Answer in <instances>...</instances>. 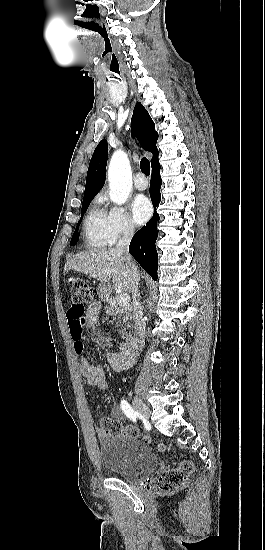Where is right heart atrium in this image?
I'll use <instances>...</instances> for the list:
<instances>
[{
  "label": "right heart atrium",
  "instance_id": "right-heart-atrium-1",
  "mask_svg": "<svg viewBox=\"0 0 265 550\" xmlns=\"http://www.w3.org/2000/svg\"><path fill=\"white\" fill-rule=\"evenodd\" d=\"M107 219L109 233L113 242L119 238H127L134 235L135 226L123 207L112 206L107 213Z\"/></svg>",
  "mask_w": 265,
  "mask_h": 550
}]
</instances>
